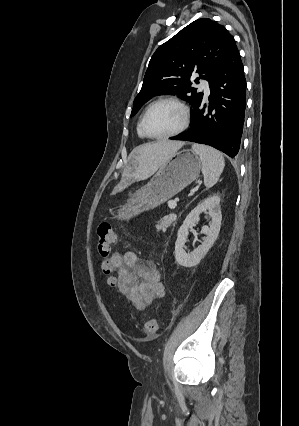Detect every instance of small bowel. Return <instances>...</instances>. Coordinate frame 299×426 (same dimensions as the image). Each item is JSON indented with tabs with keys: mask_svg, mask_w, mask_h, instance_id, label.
<instances>
[{
	"mask_svg": "<svg viewBox=\"0 0 299 426\" xmlns=\"http://www.w3.org/2000/svg\"><path fill=\"white\" fill-rule=\"evenodd\" d=\"M108 263L116 273L118 289L135 307L142 309L164 296L159 270L153 263L139 261L135 252H114Z\"/></svg>",
	"mask_w": 299,
	"mask_h": 426,
	"instance_id": "small-bowel-1",
	"label": "small bowel"
}]
</instances>
